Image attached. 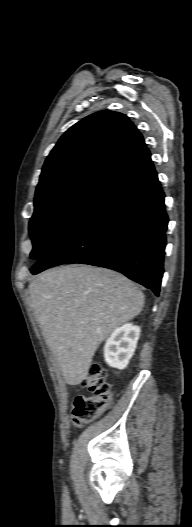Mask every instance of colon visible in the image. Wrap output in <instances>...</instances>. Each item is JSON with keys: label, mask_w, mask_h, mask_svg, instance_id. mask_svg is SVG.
Returning a JSON list of instances; mask_svg holds the SVG:
<instances>
[{"label": "colon", "mask_w": 192, "mask_h": 527, "mask_svg": "<svg viewBox=\"0 0 192 527\" xmlns=\"http://www.w3.org/2000/svg\"><path fill=\"white\" fill-rule=\"evenodd\" d=\"M81 385L92 395L76 398L72 410L73 421L76 425L90 422L97 418L111 403L114 392L104 367L92 363Z\"/></svg>", "instance_id": "colon-1"}]
</instances>
